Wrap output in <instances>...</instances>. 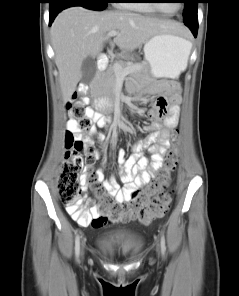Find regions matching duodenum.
Masks as SVG:
<instances>
[{"instance_id": "1", "label": "duodenum", "mask_w": 239, "mask_h": 296, "mask_svg": "<svg viewBox=\"0 0 239 296\" xmlns=\"http://www.w3.org/2000/svg\"><path fill=\"white\" fill-rule=\"evenodd\" d=\"M108 63H109L108 57L105 55H100L97 59V69L99 71H104L107 68ZM84 90H85V87L82 86L79 88L78 93H82ZM104 124H105V119L102 117L98 125L103 126Z\"/></svg>"}]
</instances>
